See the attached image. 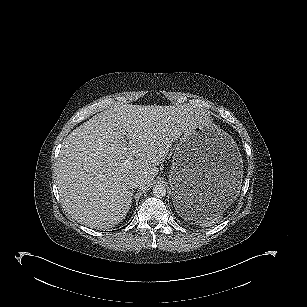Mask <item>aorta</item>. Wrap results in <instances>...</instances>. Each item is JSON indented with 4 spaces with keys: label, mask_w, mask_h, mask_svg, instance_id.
<instances>
[{
    "label": "aorta",
    "mask_w": 307,
    "mask_h": 307,
    "mask_svg": "<svg viewBox=\"0 0 307 307\" xmlns=\"http://www.w3.org/2000/svg\"><path fill=\"white\" fill-rule=\"evenodd\" d=\"M153 195L157 198H162L166 196V187L164 185H155L152 189Z\"/></svg>",
    "instance_id": "obj_1"
}]
</instances>
